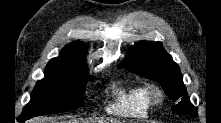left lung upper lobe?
Returning <instances> with one entry per match:
<instances>
[{
	"label": "left lung upper lobe",
	"instance_id": "5c2ea615",
	"mask_svg": "<svg viewBox=\"0 0 221 123\" xmlns=\"http://www.w3.org/2000/svg\"><path fill=\"white\" fill-rule=\"evenodd\" d=\"M123 64L118 67L121 68ZM125 64L129 72L159 82L169 98L179 102L172 107L175 113L197 115L195 107L186 96L180 68L161 42L136 43L129 50Z\"/></svg>",
	"mask_w": 221,
	"mask_h": 123
}]
</instances>
